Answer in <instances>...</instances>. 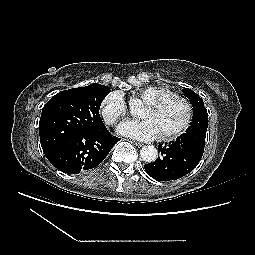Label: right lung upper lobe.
Segmentation results:
<instances>
[{"mask_svg": "<svg viewBox=\"0 0 255 255\" xmlns=\"http://www.w3.org/2000/svg\"><path fill=\"white\" fill-rule=\"evenodd\" d=\"M97 83H93L92 85H96Z\"/></svg>", "mask_w": 255, "mask_h": 255, "instance_id": "cb5924a9", "label": "right lung upper lobe"}]
</instances>
